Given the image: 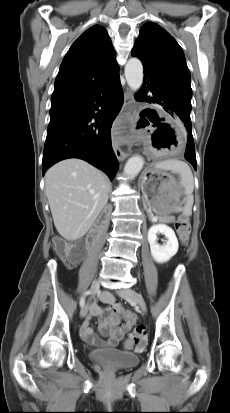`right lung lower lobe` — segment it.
Masks as SVG:
<instances>
[{
    "label": "right lung lower lobe",
    "mask_w": 230,
    "mask_h": 413,
    "mask_svg": "<svg viewBox=\"0 0 230 413\" xmlns=\"http://www.w3.org/2000/svg\"><path fill=\"white\" fill-rule=\"evenodd\" d=\"M123 105L119 74L88 93L52 101L43 152V175L55 163L83 159L112 180L118 168L111 126Z\"/></svg>",
    "instance_id": "98d812e1"
}]
</instances>
